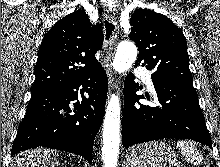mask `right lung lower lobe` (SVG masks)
<instances>
[{"mask_svg": "<svg viewBox=\"0 0 220 167\" xmlns=\"http://www.w3.org/2000/svg\"><path fill=\"white\" fill-rule=\"evenodd\" d=\"M107 88V76L101 67L91 76L71 84L32 93L11 156L43 146L80 155L91 164L94 138L103 120ZM79 95L82 102L70 107V102L78 100Z\"/></svg>", "mask_w": 220, "mask_h": 167, "instance_id": "98d812e1", "label": "right lung lower lobe"}]
</instances>
